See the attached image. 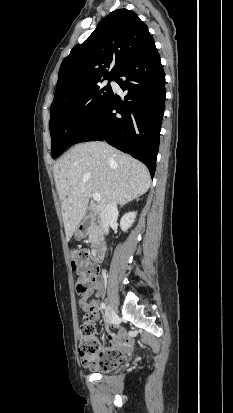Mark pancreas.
I'll return each instance as SVG.
<instances>
[{
    "mask_svg": "<svg viewBox=\"0 0 233 413\" xmlns=\"http://www.w3.org/2000/svg\"><path fill=\"white\" fill-rule=\"evenodd\" d=\"M97 237H98L97 229L94 228V227L90 228V230H89V242L92 243V244L95 243L96 240H97Z\"/></svg>",
    "mask_w": 233,
    "mask_h": 413,
    "instance_id": "obj_1",
    "label": "pancreas"
}]
</instances>
